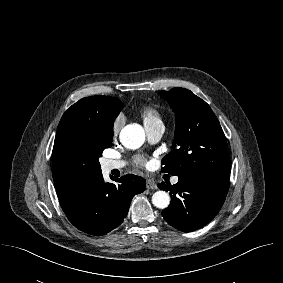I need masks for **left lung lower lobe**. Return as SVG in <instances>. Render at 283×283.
I'll list each match as a JSON object with an SVG mask.
<instances>
[{
    "label": "left lung lower lobe",
    "mask_w": 283,
    "mask_h": 283,
    "mask_svg": "<svg viewBox=\"0 0 283 283\" xmlns=\"http://www.w3.org/2000/svg\"><path fill=\"white\" fill-rule=\"evenodd\" d=\"M178 177V183L173 186L164 182L158 185L171 196V203L162 216L176 229L191 232L216 216L226 198L229 182H212L187 175Z\"/></svg>",
    "instance_id": "left-lung-lower-lobe-1"
}]
</instances>
